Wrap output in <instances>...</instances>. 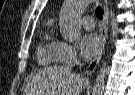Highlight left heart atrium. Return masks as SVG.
I'll list each match as a JSON object with an SVG mask.
<instances>
[{"label":"left heart atrium","instance_id":"1","mask_svg":"<svg viewBox=\"0 0 135 95\" xmlns=\"http://www.w3.org/2000/svg\"><path fill=\"white\" fill-rule=\"evenodd\" d=\"M101 40L98 35L89 33L81 37L79 48L82 55L90 59L95 56L101 49Z\"/></svg>","mask_w":135,"mask_h":95}]
</instances>
